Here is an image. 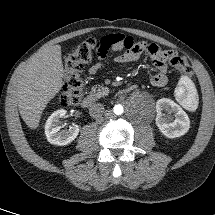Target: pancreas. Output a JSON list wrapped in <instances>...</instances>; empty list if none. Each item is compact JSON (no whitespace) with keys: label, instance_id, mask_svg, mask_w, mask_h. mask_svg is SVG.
<instances>
[{"label":"pancreas","instance_id":"1","mask_svg":"<svg viewBox=\"0 0 215 215\" xmlns=\"http://www.w3.org/2000/svg\"><path fill=\"white\" fill-rule=\"evenodd\" d=\"M91 93L97 98H100L102 96H106L109 93L108 87H103V86H93L91 88Z\"/></svg>","mask_w":215,"mask_h":215}]
</instances>
